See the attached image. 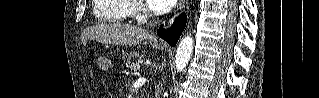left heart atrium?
Wrapping results in <instances>:
<instances>
[{
  "label": "left heart atrium",
  "mask_w": 319,
  "mask_h": 98,
  "mask_svg": "<svg viewBox=\"0 0 319 98\" xmlns=\"http://www.w3.org/2000/svg\"><path fill=\"white\" fill-rule=\"evenodd\" d=\"M174 3L175 0H148L149 7L157 14L168 12Z\"/></svg>",
  "instance_id": "39dd6f15"
}]
</instances>
